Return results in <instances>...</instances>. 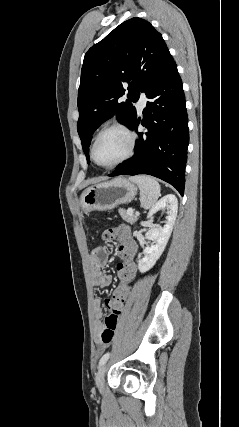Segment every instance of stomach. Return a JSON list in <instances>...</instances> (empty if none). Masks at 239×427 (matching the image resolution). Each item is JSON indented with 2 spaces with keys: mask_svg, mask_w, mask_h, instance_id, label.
I'll return each mask as SVG.
<instances>
[{
  "mask_svg": "<svg viewBox=\"0 0 239 427\" xmlns=\"http://www.w3.org/2000/svg\"><path fill=\"white\" fill-rule=\"evenodd\" d=\"M137 194V187L124 177L96 184L87 188L81 195L84 212L107 211L124 203H129Z\"/></svg>",
  "mask_w": 239,
  "mask_h": 427,
  "instance_id": "1",
  "label": "stomach"
}]
</instances>
